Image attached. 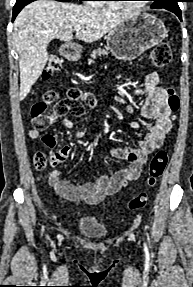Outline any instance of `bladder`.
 I'll use <instances>...</instances> for the list:
<instances>
[{"label":"bladder","mask_w":193,"mask_h":287,"mask_svg":"<svg viewBox=\"0 0 193 287\" xmlns=\"http://www.w3.org/2000/svg\"><path fill=\"white\" fill-rule=\"evenodd\" d=\"M77 230L91 239H102L107 236L106 226L92 215L81 216L77 221Z\"/></svg>","instance_id":"31cf9c89"}]
</instances>
